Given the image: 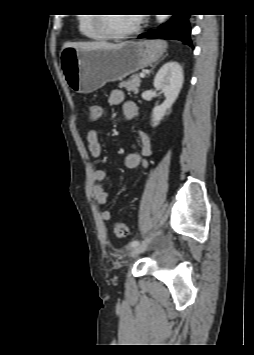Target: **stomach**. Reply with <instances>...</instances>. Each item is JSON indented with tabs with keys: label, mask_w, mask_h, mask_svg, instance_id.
<instances>
[{
	"label": "stomach",
	"mask_w": 254,
	"mask_h": 355,
	"mask_svg": "<svg viewBox=\"0 0 254 355\" xmlns=\"http://www.w3.org/2000/svg\"><path fill=\"white\" fill-rule=\"evenodd\" d=\"M166 48L162 40L129 41L110 49L66 47L60 53V65L70 88L88 94L152 65Z\"/></svg>",
	"instance_id": "1"
}]
</instances>
